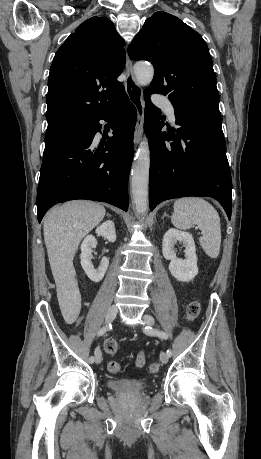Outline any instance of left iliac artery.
<instances>
[{"label":"left iliac artery","instance_id":"left-iliac-artery-1","mask_svg":"<svg viewBox=\"0 0 261 459\" xmlns=\"http://www.w3.org/2000/svg\"><path fill=\"white\" fill-rule=\"evenodd\" d=\"M144 332L146 334H148V335H155V336H158V337L163 338V339H167L168 338L166 333H164L163 331L157 330V329H153L151 327H145ZM167 354L170 357L172 355V350L168 349L167 350Z\"/></svg>","mask_w":261,"mask_h":459}]
</instances>
